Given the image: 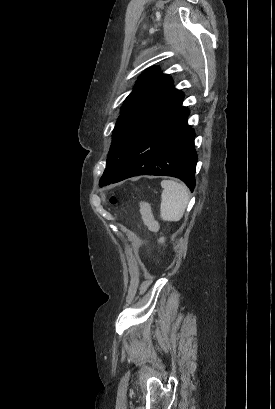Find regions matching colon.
I'll list each match as a JSON object with an SVG mask.
<instances>
[{"mask_svg":"<svg viewBox=\"0 0 275 409\" xmlns=\"http://www.w3.org/2000/svg\"><path fill=\"white\" fill-rule=\"evenodd\" d=\"M111 204L115 205L116 204V199L115 198H111Z\"/></svg>","mask_w":275,"mask_h":409,"instance_id":"obj_1","label":"colon"}]
</instances>
